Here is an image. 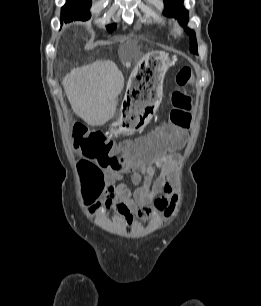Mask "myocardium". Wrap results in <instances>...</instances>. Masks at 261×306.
Segmentation results:
<instances>
[{
    "mask_svg": "<svg viewBox=\"0 0 261 306\" xmlns=\"http://www.w3.org/2000/svg\"><path fill=\"white\" fill-rule=\"evenodd\" d=\"M176 32L177 33H181V28L180 27H176Z\"/></svg>",
    "mask_w": 261,
    "mask_h": 306,
    "instance_id": "myocardium-1",
    "label": "myocardium"
}]
</instances>
